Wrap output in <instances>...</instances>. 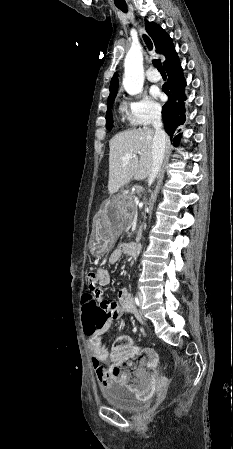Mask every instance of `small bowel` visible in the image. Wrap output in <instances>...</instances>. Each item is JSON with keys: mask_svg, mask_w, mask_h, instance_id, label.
<instances>
[{"mask_svg": "<svg viewBox=\"0 0 233 449\" xmlns=\"http://www.w3.org/2000/svg\"><path fill=\"white\" fill-rule=\"evenodd\" d=\"M125 249L115 250L109 257L110 264L116 263L122 258ZM89 287L87 293L94 295V301L99 307H105V316L103 328H83L87 336L88 347L91 353L92 365L99 383L106 387L112 381L126 382L130 384V390H133V399H150V392L156 389V378L162 377L163 370L161 363H158L156 352L150 348L140 347L133 340H123L122 344L112 354V365L106 369L104 363L107 361L109 353L103 342V336L108 331L111 322L121 317L125 312H130L134 308V302L130 292L122 288L118 293L117 301L103 300V289L100 286H107L111 282V274L105 267H99L97 270L88 272ZM84 297V295H83ZM83 321V319H82ZM139 357L140 361L135 375H129L126 366H130L132 359Z\"/></svg>", "mask_w": 233, "mask_h": 449, "instance_id": "1", "label": "small bowel"}]
</instances>
